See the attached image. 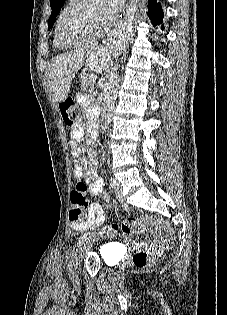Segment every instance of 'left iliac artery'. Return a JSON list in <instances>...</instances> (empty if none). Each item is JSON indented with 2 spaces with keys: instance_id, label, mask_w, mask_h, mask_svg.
<instances>
[{
  "instance_id": "left-iliac-artery-1",
  "label": "left iliac artery",
  "mask_w": 227,
  "mask_h": 315,
  "mask_svg": "<svg viewBox=\"0 0 227 315\" xmlns=\"http://www.w3.org/2000/svg\"><path fill=\"white\" fill-rule=\"evenodd\" d=\"M110 185L113 187L115 185V179L114 178H111L110 179ZM90 236V232H87L85 234H83L78 242H77V246H80L88 237Z\"/></svg>"
}]
</instances>
